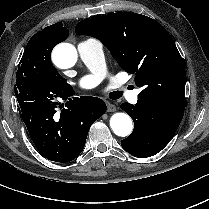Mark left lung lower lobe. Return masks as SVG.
<instances>
[{"label": "left lung lower lobe", "instance_id": "1", "mask_svg": "<svg viewBox=\"0 0 209 209\" xmlns=\"http://www.w3.org/2000/svg\"><path fill=\"white\" fill-rule=\"evenodd\" d=\"M121 108L134 121L133 132L121 141V145L128 153L139 158L160 152L172 139L184 115V111L141 99L136 105L122 103Z\"/></svg>", "mask_w": 209, "mask_h": 209}]
</instances>
